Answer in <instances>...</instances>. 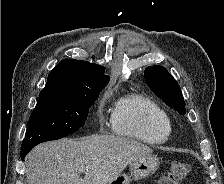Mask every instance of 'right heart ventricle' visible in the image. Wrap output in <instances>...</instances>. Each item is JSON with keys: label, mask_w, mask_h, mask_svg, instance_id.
Masks as SVG:
<instances>
[{"label": "right heart ventricle", "mask_w": 224, "mask_h": 184, "mask_svg": "<svg viewBox=\"0 0 224 184\" xmlns=\"http://www.w3.org/2000/svg\"><path fill=\"white\" fill-rule=\"evenodd\" d=\"M112 130L147 144L167 141L171 133L168 113L149 97L140 93L122 96L111 113Z\"/></svg>", "instance_id": "obj_1"}]
</instances>
